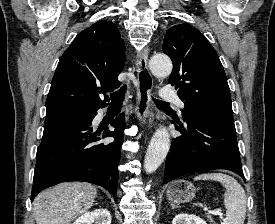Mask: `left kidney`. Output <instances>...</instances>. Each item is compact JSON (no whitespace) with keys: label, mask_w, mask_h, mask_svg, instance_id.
<instances>
[{"label":"left kidney","mask_w":275,"mask_h":224,"mask_svg":"<svg viewBox=\"0 0 275 224\" xmlns=\"http://www.w3.org/2000/svg\"><path fill=\"white\" fill-rule=\"evenodd\" d=\"M172 224H207L203 219L196 215L178 214L172 221Z\"/></svg>","instance_id":"1"}]
</instances>
